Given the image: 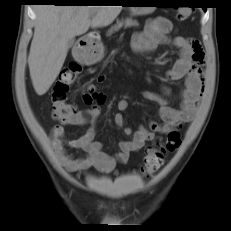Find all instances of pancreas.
<instances>
[{
    "mask_svg": "<svg viewBox=\"0 0 231 231\" xmlns=\"http://www.w3.org/2000/svg\"><path fill=\"white\" fill-rule=\"evenodd\" d=\"M123 26L125 28L136 27V26H138V22L136 20L131 19V18H126L124 20L117 21V23L113 27H111V29L109 30L108 35H111L112 33L118 31Z\"/></svg>",
    "mask_w": 231,
    "mask_h": 231,
    "instance_id": "pancreas-1",
    "label": "pancreas"
}]
</instances>
